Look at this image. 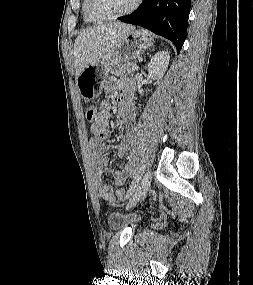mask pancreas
Masks as SVG:
<instances>
[{
  "instance_id": "1",
  "label": "pancreas",
  "mask_w": 253,
  "mask_h": 285,
  "mask_svg": "<svg viewBox=\"0 0 253 285\" xmlns=\"http://www.w3.org/2000/svg\"><path fill=\"white\" fill-rule=\"evenodd\" d=\"M135 65V62H128L120 65L113 66L110 70L111 74L116 76H126L133 75L134 71L132 67Z\"/></svg>"
}]
</instances>
